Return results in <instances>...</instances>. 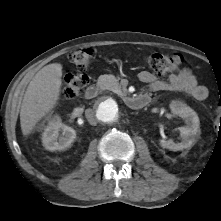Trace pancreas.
Instances as JSON below:
<instances>
[{"label":"pancreas","instance_id":"1","mask_svg":"<svg viewBox=\"0 0 221 221\" xmlns=\"http://www.w3.org/2000/svg\"><path fill=\"white\" fill-rule=\"evenodd\" d=\"M98 85L104 90L116 91L121 89V85L113 75L100 76L98 79Z\"/></svg>","mask_w":221,"mask_h":221}]
</instances>
